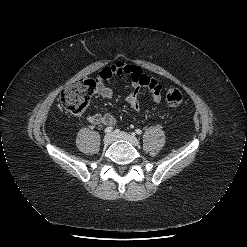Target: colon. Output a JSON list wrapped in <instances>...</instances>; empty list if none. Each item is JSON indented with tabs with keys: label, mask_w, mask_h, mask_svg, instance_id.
Segmentation results:
<instances>
[{
	"label": "colon",
	"mask_w": 247,
	"mask_h": 247,
	"mask_svg": "<svg viewBox=\"0 0 247 247\" xmlns=\"http://www.w3.org/2000/svg\"><path fill=\"white\" fill-rule=\"evenodd\" d=\"M96 84L93 79H81L69 85L60 95L62 107L71 114H83L96 91ZM182 100V94L177 88L166 89V101L171 107H178Z\"/></svg>",
	"instance_id": "colon-1"
}]
</instances>
